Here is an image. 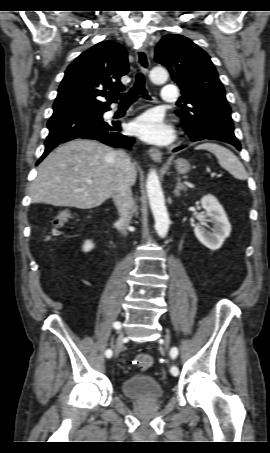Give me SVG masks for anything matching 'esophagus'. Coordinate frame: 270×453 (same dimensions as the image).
Instances as JSON below:
<instances>
[{"label": "esophagus", "mask_w": 270, "mask_h": 453, "mask_svg": "<svg viewBox=\"0 0 270 453\" xmlns=\"http://www.w3.org/2000/svg\"><path fill=\"white\" fill-rule=\"evenodd\" d=\"M136 61L139 69L143 73H147L150 68V60L148 57V53L144 48H139L136 50ZM149 155L154 161L156 162L161 161L162 153L159 149L151 147L149 149Z\"/></svg>", "instance_id": "obj_1"}]
</instances>
